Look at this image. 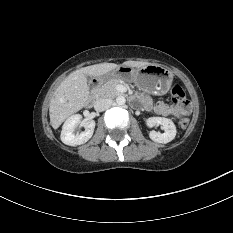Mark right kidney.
I'll use <instances>...</instances> for the list:
<instances>
[{
	"label": "right kidney",
	"instance_id": "1",
	"mask_svg": "<svg viewBox=\"0 0 233 233\" xmlns=\"http://www.w3.org/2000/svg\"><path fill=\"white\" fill-rule=\"evenodd\" d=\"M82 116L75 114L70 116L63 124L61 131V141L69 146H77L86 143L93 135L95 121L89 120L82 122L85 131L80 134H74L77 124L81 123Z\"/></svg>",
	"mask_w": 233,
	"mask_h": 233
}]
</instances>
